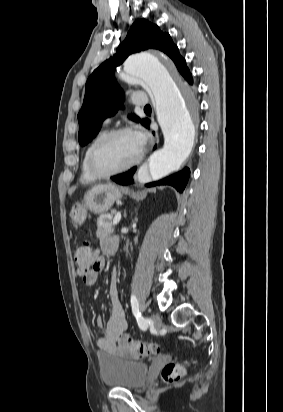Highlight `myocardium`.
Wrapping results in <instances>:
<instances>
[{
  "mask_svg": "<svg viewBox=\"0 0 283 412\" xmlns=\"http://www.w3.org/2000/svg\"><path fill=\"white\" fill-rule=\"evenodd\" d=\"M124 133H133L132 130L128 127H119L112 129L108 132H106L102 137H100L92 146L89 155H88V167L91 171V173L94 175L95 178H109L111 176H114L116 174H119L121 172H124L126 170H129L130 168L134 167L137 165L143 158L144 156V149L141 148L138 155L136 158L131 161L129 164L122 166L120 168L111 170V171H101L98 169L96 165V157L98 152L114 137L124 134Z\"/></svg>",
  "mask_w": 283,
  "mask_h": 412,
  "instance_id": "1",
  "label": "myocardium"
}]
</instances>
